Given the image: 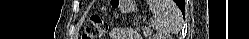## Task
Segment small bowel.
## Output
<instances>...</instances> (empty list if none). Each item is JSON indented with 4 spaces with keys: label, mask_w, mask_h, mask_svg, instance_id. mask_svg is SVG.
Here are the masks:
<instances>
[{
    "label": "small bowel",
    "mask_w": 249,
    "mask_h": 39,
    "mask_svg": "<svg viewBox=\"0 0 249 39\" xmlns=\"http://www.w3.org/2000/svg\"><path fill=\"white\" fill-rule=\"evenodd\" d=\"M116 32L119 33V31H116ZM122 33H123L124 35H126V36L132 38V39H134V38L136 37V33H135L134 31H132V30H126V31H123Z\"/></svg>",
    "instance_id": "1"
}]
</instances>
